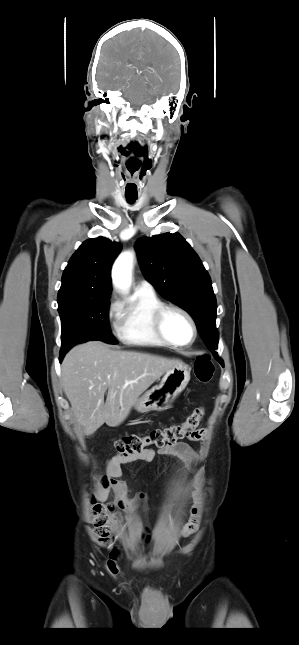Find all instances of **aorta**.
I'll return each mask as SVG.
<instances>
[{
	"mask_svg": "<svg viewBox=\"0 0 299 645\" xmlns=\"http://www.w3.org/2000/svg\"><path fill=\"white\" fill-rule=\"evenodd\" d=\"M133 257L130 252L119 255L112 269V279L116 286L127 290L131 285V269Z\"/></svg>",
	"mask_w": 299,
	"mask_h": 645,
	"instance_id": "aorta-1",
	"label": "aorta"
}]
</instances>
